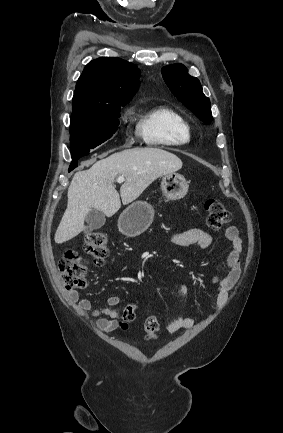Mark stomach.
Wrapping results in <instances>:
<instances>
[{
  "instance_id": "stomach-1",
  "label": "stomach",
  "mask_w": 283,
  "mask_h": 433,
  "mask_svg": "<svg viewBox=\"0 0 283 433\" xmlns=\"http://www.w3.org/2000/svg\"><path fill=\"white\" fill-rule=\"evenodd\" d=\"M189 184L183 174L170 172L164 174L161 180V190L167 200H178L187 194ZM154 217V208L145 200H136L121 212L118 227L120 233L127 237H137L143 233L148 221Z\"/></svg>"
}]
</instances>
